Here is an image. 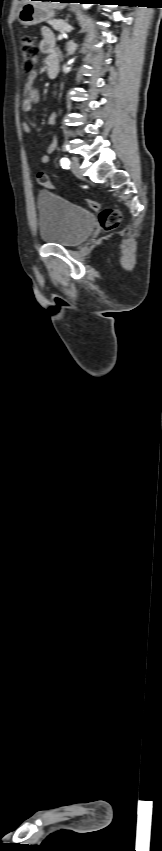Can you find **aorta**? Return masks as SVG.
Segmentation results:
<instances>
[{
	"label": "aorta",
	"mask_w": 162,
	"mask_h": 851,
	"mask_svg": "<svg viewBox=\"0 0 162 851\" xmlns=\"http://www.w3.org/2000/svg\"><path fill=\"white\" fill-rule=\"evenodd\" d=\"M83 7H84L85 9H87V8H89V7H90V4H84V5H83Z\"/></svg>",
	"instance_id": "obj_1"
}]
</instances>
